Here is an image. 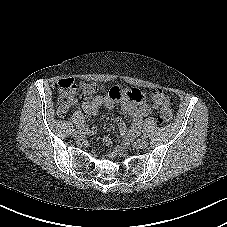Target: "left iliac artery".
<instances>
[{
  "mask_svg": "<svg viewBox=\"0 0 227 227\" xmlns=\"http://www.w3.org/2000/svg\"><path fill=\"white\" fill-rule=\"evenodd\" d=\"M143 138H148V134L146 132H144Z\"/></svg>",
  "mask_w": 227,
  "mask_h": 227,
  "instance_id": "obj_1",
  "label": "left iliac artery"
}]
</instances>
